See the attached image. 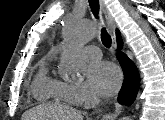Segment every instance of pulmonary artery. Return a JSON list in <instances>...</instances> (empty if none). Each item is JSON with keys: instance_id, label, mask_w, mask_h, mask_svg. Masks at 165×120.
<instances>
[{"instance_id": "obj_1", "label": "pulmonary artery", "mask_w": 165, "mask_h": 120, "mask_svg": "<svg viewBox=\"0 0 165 120\" xmlns=\"http://www.w3.org/2000/svg\"><path fill=\"white\" fill-rule=\"evenodd\" d=\"M84 54L88 59L95 60L101 57V51L97 46L89 45L84 48Z\"/></svg>"}]
</instances>
